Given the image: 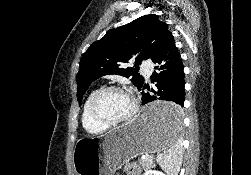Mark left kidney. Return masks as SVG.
<instances>
[{"mask_svg": "<svg viewBox=\"0 0 251 175\" xmlns=\"http://www.w3.org/2000/svg\"><path fill=\"white\" fill-rule=\"evenodd\" d=\"M144 175H166L163 171H156V169H145Z\"/></svg>", "mask_w": 251, "mask_h": 175, "instance_id": "1", "label": "left kidney"}]
</instances>
